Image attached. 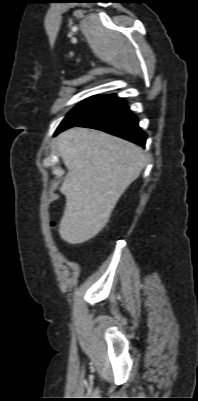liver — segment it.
<instances>
[{"label":"liver","mask_w":198,"mask_h":401,"mask_svg":"<svg viewBox=\"0 0 198 401\" xmlns=\"http://www.w3.org/2000/svg\"><path fill=\"white\" fill-rule=\"evenodd\" d=\"M57 148L68 170L60 187L66 206L59 234L69 244H80L104 228L147 157L134 143L81 127L61 133Z\"/></svg>","instance_id":"liver-1"}]
</instances>
